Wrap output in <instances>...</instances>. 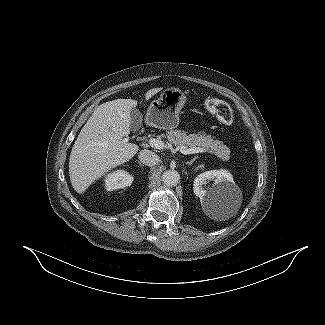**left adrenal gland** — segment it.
Returning a JSON list of instances; mask_svg holds the SVG:
<instances>
[{
	"instance_id": "a2214340",
	"label": "left adrenal gland",
	"mask_w": 325,
	"mask_h": 325,
	"mask_svg": "<svg viewBox=\"0 0 325 325\" xmlns=\"http://www.w3.org/2000/svg\"><path fill=\"white\" fill-rule=\"evenodd\" d=\"M198 158V156L194 157L190 162H187L188 165H192L193 162Z\"/></svg>"
}]
</instances>
